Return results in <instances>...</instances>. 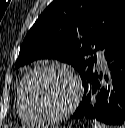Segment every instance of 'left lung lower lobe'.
<instances>
[{"instance_id": "1", "label": "left lung lower lobe", "mask_w": 125, "mask_h": 128, "mask_svg": "<svg viewBox=\"0 0 125 128\" xmlns=\"http://www.w3.org/2000/svg\"><path fill=\"white\" fill-rule=\"evenodd\" d=\"M107 68L82 82L84 95L73 119H96L125 128V27L104 49Z\"/></svg>"}]
</instances>
